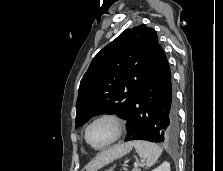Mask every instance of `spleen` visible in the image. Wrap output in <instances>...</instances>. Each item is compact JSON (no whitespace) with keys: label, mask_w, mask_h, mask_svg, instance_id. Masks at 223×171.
I'll list each match as a JSON object with an SVG mask.
<instances>
[{"label":"spleen","mask_w":223,"mask_h":171,"mask_svg":"<svg viewBox=\"0 0 223 171\" xmlns=\"http://www.w3.org/2000/svg\"><path fill=\"white\" fill-rule=\"evenodd\" d=\"M131 144L140 158L145 160L147 167L153 166L163 151L159 145L147 141L138 140L131 142Z\"/></svg>","instance_id":"obj_1"}]
</instances>
